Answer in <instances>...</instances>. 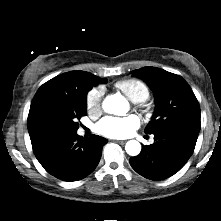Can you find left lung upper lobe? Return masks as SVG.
Segmentation results:
<instances>
[{
	"instance_id": "left-lung-upper-lobe-1",
	"label": "left lung upper lobe",
	"mask_w": 221,
	"mask_h": 221,
	"mask_svg": "<svg viewBox=\"0 0 221 221\" xmlns=\"http://www.w3.org/2000/svg\"><path fill=\"white\" fill-rule=\"evenodd\" d=\"M132 73L147 82L155 97V111L145 133L154 134L165 128L179 127L199 134V103L181 76L156 67H143Z\"/></svg>"
}]
</instances>
